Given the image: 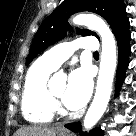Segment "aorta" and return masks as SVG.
<instances>
[{
  "instance_id": "aorta-1",
  "label": "aorta",
  "mask_w": 136,
  "mask_h": 136,
  "mask_svg": "<svg viewBox=\"0 0 136 136\" xmlns=\"http://www.w3.org/2000/svg\"><path fill=\"white\" fill-rule=\"evenodd\" d=\"M72 21L76 25H84L96 31L102 41L101 62L96 92L83 122L84 128L90 129L104 114L111 96L117 64L116 41L107 23L96 15L78 14ZM58 79H61L63 82L65 81L64 75L61 74H55L52 78L53 81Z\"/></svg>"
}]
</instances>
